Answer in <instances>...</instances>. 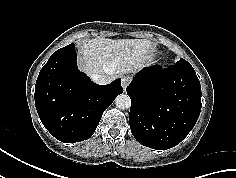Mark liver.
<instances>
[{
  "label": "liver",
  "instance_id": "obj_1",
  "mask_svg": "<svg viewBox=\"0 0 236 178\" xmlns=\"http://www.w3.org/2000/svg\"><path fill=\"white\" fill-rule=\"evenodd\" d=\"M152 49V42L147 39L95 38L81 45L79 66L90 76L106 74L114 80L143 67L151 58Z\"/></svg>",
  "mask_w": 236,
  "mask_h": 178
}]
</instances>
